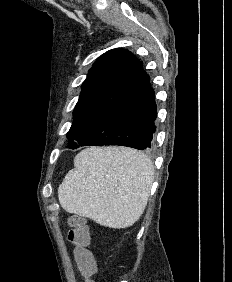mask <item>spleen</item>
Returning <instances> with one entry per match:
<instances>
[{"mask_svg": "<svg viewBox=\"0 0 232 282\" xmlns=\"http://www.w3.org/2000/svg\"><path fill=\"white\" fill-rule=\"evenodd\" d=\"M154 177L145 154L129 148L82 150L58 188L61 207L110 228H126L143 214Z\"/></svg>", "mask_w": 232, "mask_h": 282, "instance_id": "spleen-1", "label": "spleen"}]
</instances>
